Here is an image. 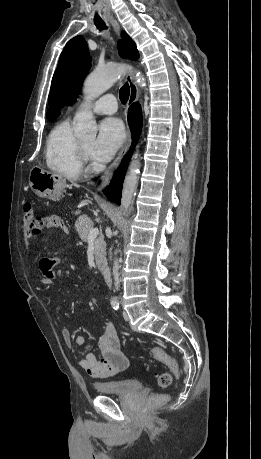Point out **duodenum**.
<instances>
[{
	"label": "duodenum",
	"mask_w": 261,
	"mask_h": 459,
	"mask_svg": "<svg viewBox=\"0 0 261 459\" xmlns=\"http://www.w3.org/2000/svg\"><path fill=\"white\" fill-rule=\"evenodd\" d=\"M99 267H100V270H101L106 282L108 284H110L111 283V272H110L109 267L107 265H105V264H101Z\"/></svg>",
	"instance_id": "1"
}]
</instances>
